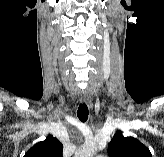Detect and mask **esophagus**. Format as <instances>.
I'll list each match as a JSON object with an SVG mask.
<instances>
[{
	"instance_id": "obj_1",
	"label": "esophagus",
	"mask_w": 164,
	"mask_h": 157,
	"mask_svg": "<svg viewBox=\"0 0 164 157\" xmlns=\"http://www.w3.org/2000/svg\"><path fill=\"white\" fill-rule=\"evenodd\" d=\"M80 101H81L82 103H86L90 109L93 108V104H92V102L89 100L88 94H81V96H80Z\"/></svg>"
}]
</instances>
